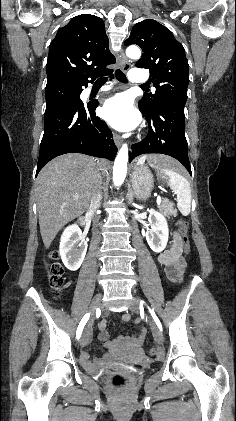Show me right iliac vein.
<instances>
[{"instance_id": "obj_1", "label": "right iliac vein", "mask_w": 236, "mask_h": 421, "mask_svg": "<svg viewBox=\"0 0 236 421\" xmlns=\"http://www.w3.org/2000/svg\"><path fill=\"white\" fill-rule=\"evenodd\" d=\"M101 299H102V295H101V293H98V294H97V295H96V296L92 299V302H91V304H90V309H89L91 316L95 313L96 309H97V308H98V306L100 305V303H101ZM91 327H92V320H90V321L88 322L87 327H86V330L83 332V335H82V340H81V344H82V345H84V344H85L86 339H87V337H88V335H89V333H90Z\"/></svg>"}]
</instances>
